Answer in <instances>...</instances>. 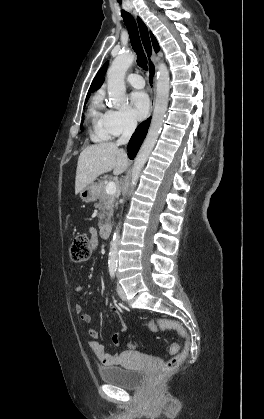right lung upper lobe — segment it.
Returning <instances> with one entry per match:
<instances>
[{"mask_svg":"<svg viewBox=\"0 0 264 419\" xmlns=\"http://www.w3.org/2000/svg\"><path fill=\"white\" fill-rule=\"evenodd\" d=\"M150 36H151V40H152L154 50H155V52H158L159 51V44H158L156 38L154 37V35L151 32H150ZM107 66H108V62H106L101 67V69L98 71L97 75L95 76V78H94V80L91 84V87L89 89V92H88L86 98H89L90 93L93 92L94 90H96L97 88H99L101 86V84L103 83L104 76H105V73H106V70H107Z\"/></svg>","mask_w":264,"mask_h":419,"instance_id":"obj_1","label":"right lung upper lobe"}]
</instances>
